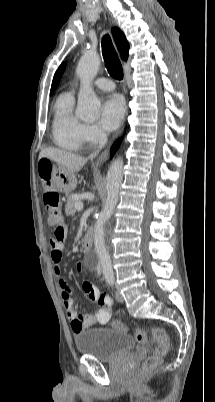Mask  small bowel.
I'll list each match as a JSON object with an SVG mask.
<instances>
[{"label":"small bowel","mask_w":215,"mask_h":402,"mask_svg":"<svg viewBox=\"0 0 215 402\" xmlns=\"http://www.w3.org/2000/svg\"><path fill=\"white\" fill-rule=\"evenodd\" d=\"M66 237L67 228L64 225L59 226L55 230L54 238L50 239L49 241V247L57 287L66 309L67 316L71 321L72 330L77 333L94 324L108 323L111 318V306L113 304V300L110 296L101 294L100 290L95 285L91 284L90 282H84L82 284L83 292L89 300L97 302L99 304V308L94 315H81L78 313L69 288L65 280L61 277L60 263L63 259V249ZM76 268L80 271L82 264L80 262L77 263Z\"/></svg>","instance_id":"obj_1"}]
</instances>
